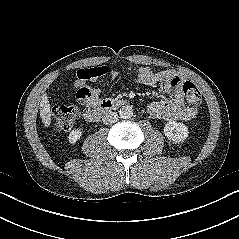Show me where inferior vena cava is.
<instances>
[{
  "instance_id": "1",
  "label": "inferior vena cava",
  "mask_w": 239,
  "mask_h": 239,
  "mask_svg": "<svg viewBox=\"0 0 239 239\" xmlns=\"http://www.w3.org/2000/svg\"><path fill=\"white\" fill-rule=\"evenodd\" d=\"M117 120H118V114L112 111L107 112L102 118V121L105 125L113 124L117 122Z\"/></svg>"
}]
</instances>
